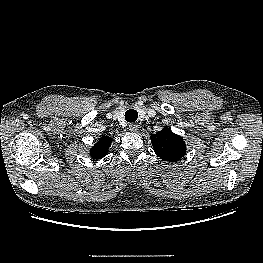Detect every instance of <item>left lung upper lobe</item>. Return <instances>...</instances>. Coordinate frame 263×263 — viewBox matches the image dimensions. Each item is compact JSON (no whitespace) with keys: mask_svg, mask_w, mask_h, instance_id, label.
Masks as SVG:
<instances>
[{"mask_svg":"<svg viewBox=\"0 0 263 263\" xmlns=\"http://www.w3.org/2000/svg\"><path fill=\"white\" fill-rule=\"evenodd\" d=\"M151 142L156 155L164 161L175 163L186 153V145L182 137L174 134L167 127L153 134Z\"/></svg>","mask_w":263,"mask_h":263,"instance_id":"obj_1","label":"left lung upper lobe"}]
</instances>
